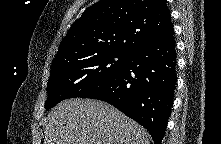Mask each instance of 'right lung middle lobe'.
<instances>
[{
    "label": "right lung middle lobe",
    "instance_id": "right-lung-middle-lobe-1",
    "mask_svg": "<svg viewBox=\"0 0 221 144\" xmlns=\"http://www.w3.org/2000/svg\"><path fill=\"white\" fill-rule=\"evenodd\" d=\"M128 56L123 52H105L53 68L47 84L46 110L106 82L123 67Z\"/></svg>",
    "mask_w": 221,
    "mask_h": 144
}]
</instances>
